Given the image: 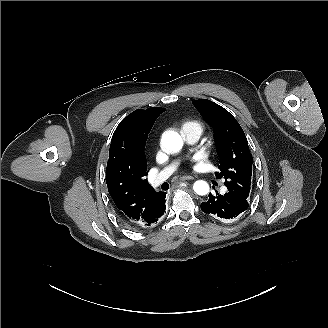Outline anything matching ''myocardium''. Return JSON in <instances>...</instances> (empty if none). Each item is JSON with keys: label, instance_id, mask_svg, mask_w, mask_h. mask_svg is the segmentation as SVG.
Returning <instances> with one entry per match:
<instances>
[{"label": "myocardium", "instance_id": "f54148a6", "mask_svg": "<svg viewBox=\"0 0 328 328\" xmlns=\"http://www.w3.org/2000/svg\"><path fill=\"white\" fill-rule=\"evenodd\" d=\"M211 155V147L210 145H205L201 148L200 151V156L201 157H205V158H209Z\"/></svg>", "mask_w": 328, "mask_h": 328}]
</instances>
